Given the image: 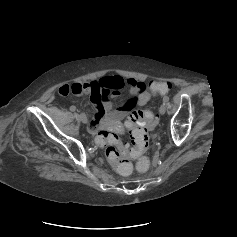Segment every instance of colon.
Masks as SVG:
<instances>
[{
  "label": "colon",
  "instance_id": "5ec220e1",
  "mask_svg": "<svg viewBox=\"0 0 237 237\" xmlns=\"http://www.w3.org/2000/svg\"><path fill=\"white\" fill-rule=\"evenodd\" d=\"M149 87L154 93L164 95L171 89V83L166 81H150ZM157 124V116L150 109L135 110L127 119L131 146L124 144L119 136L110 130H99L96 142L104 148L106 159L123 175L132 171L131 161H136L139 171H145L149 166L148 159L144 156L149 146V129Z\"/></svg>",
  "mask_w": 237,
  "mask_h": 237
}]
</instances>
